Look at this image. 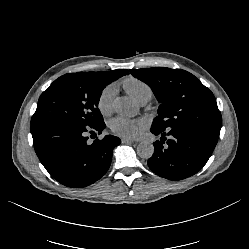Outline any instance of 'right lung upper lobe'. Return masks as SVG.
I'll use <instances>...</instances> for the list:
<instances>
[{
  "instance_id": "obj_1",
  "label": "right lung upper lobe",
  "mask_w": 249,
  "mask_h": 249,
  "mask_svg": "<svg viewBox=\"0 0 249 249\" xmlns=\"http://www.w3.org/2000/svg\"><path fill=\"white\" fill-rule=\"evenodd\" d=\"M125 72H126V75L129 74L128 70H125Z\"/></svg>"
}]
</instances>
